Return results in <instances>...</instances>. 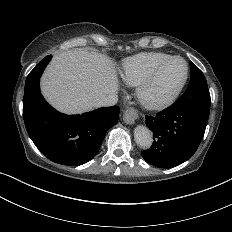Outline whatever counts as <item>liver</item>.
I'll return each mask as SVG.
<instances>
[{"label":"liver","instance_id":"obj_1","mask_svg":"<svg viewBox=\"0 0 232 232\" xmlns=\"http://www.w3.org/2000/svg\"><path fill=\"white\" fill-rule=\"evenodd\" d=\"M40 86L45 99L67 114L92 110L95 102L119 88L113 61L81 48L54 55Z\"/></svg>","mask_w":232,"mask_h":232}]
</instances>
